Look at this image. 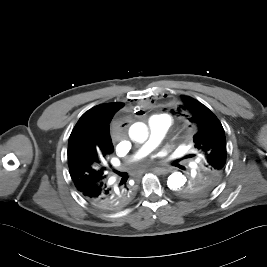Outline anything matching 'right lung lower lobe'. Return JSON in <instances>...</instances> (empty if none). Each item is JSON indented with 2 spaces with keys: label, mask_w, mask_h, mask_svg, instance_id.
<instances>
[{
  "label": "right lung lower lobe",
  "mask_w": 267,
  "mask_h": 267,
  "mask_svg": "<svg viewBox=\"0 0 267 267\" xmlns=\"http://www.w3.org/2000/svg\"><path fill=\"white\" fill-rule=\"evenodd\" d=\"M81 195L92 205L104 210H117L132 198V191L124 186L117 188L107 184L106 178L77 188Z\"/></svg>",
  "instance_id": "obj_1"
}]
</instances>
